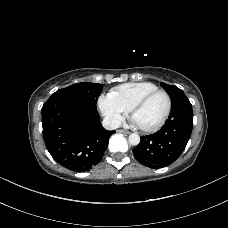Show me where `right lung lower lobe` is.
<instances>
[{
    "label": "right lung lower lobe",
    "instance_id": "right-lung-lower-lobe-1",
    "mask_svg": "<svg viewBox=\"0 0 228 228\" xmlns=\"http://www.w3.org/2000/svg\"><path fill=\"white\" fill-rule=\"evenodd\" d=\"M43 138L60 165L76 172L92 169L103 157L114 131L99 121L96 104L52 95L42 107Z\"/></svg>",
    "mask_w": 228,
    "mask_h": 228
}]
</instances>
